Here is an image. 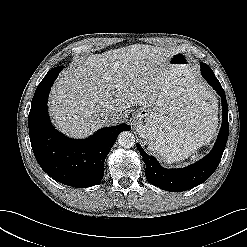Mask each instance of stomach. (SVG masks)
<instances>
[{"label":"stomach","instance_id":"0dacf381","mask_svg":"<svg viewBox=\"0 0 247 247\" xmlns=\"http://www.w3.org/2000/svg\"><path fill=\"white\" fill-rule=\"evenodd\" d=\"M168 65L174 70L169 84L150 108L140 109L136 129L148 148L170 163L187 158L212 137L217 101L187 55L175 53Z\"/></svg>","mask_w":247,"mask_h":247}]
</instances>
